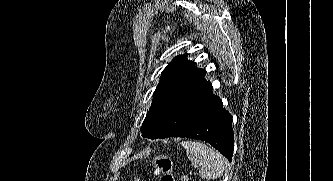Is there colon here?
<instances>
[{
  "instance_id": "colon-1",
  "label": "colon",
  "mask_w": 333,
  "mask_h": 181,
  "mask_svg": "<svg viewBox=\"0 0 333 181\" xmlns=\"http://www.w3.org/2000/svg\"><path fill=\"white\" fill-rule=\"evenodd\" d=\"M151 166L160 175L161 181H175L173 159L166 155H158L151 160Z\"/></svg>"
}]
</instances>
